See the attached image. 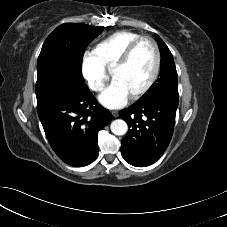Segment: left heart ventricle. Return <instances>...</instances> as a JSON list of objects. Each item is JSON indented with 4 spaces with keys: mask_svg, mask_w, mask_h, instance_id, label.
I'll list each match as a JSON object with an SVG mask.
<instances>
[{
    "mask_svg": "<svg viewBox=\"0 0 227 227\" xmlns=\"http://www.w3.org/2000/svg\"><path fill=\"white\" fill-rule=\"evenodd\" d=\"M155 67V52L149 42H142L134 51L129 63L113 71V78L120 81L129 94L140 90L150 79Z\"/></svg>",
    "mask_w": 227,
    "mask_h": 227,
    "instance_id": "b2bd125f",
    "label": "left heart ventricle"
}]
</instances>
